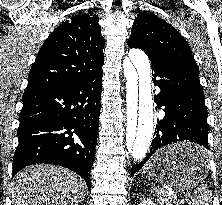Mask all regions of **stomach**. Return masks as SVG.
Listing matches in <instances>:
<instances>
[{"mask_svg": "<svg viewBox=\"0 0 222 205\" xmlns=\"http://www.w3.org/2000/svg\"><path fill=\"white\" fill-rule=\"evenodd\" d=\"M202 149L196 144L186 142L167 146L150 160L148 174L164 188L191 189L207 177L208 159L202 164L183 166L173 163L172 158L180 151Z\"/></svg>", "mask_w": 222, "mask_h": 205, "instance_id": "1", "label": "stomach"}]
</instances>
